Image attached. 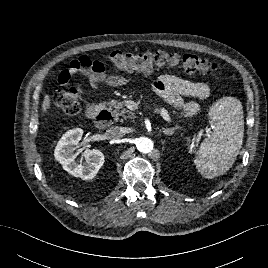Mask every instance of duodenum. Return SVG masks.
Wrapping results in <instances>:
<instances>
[{
	"mask_svg": "<svg viewBox=\"0 0 268 268\" xmlns=\"http://www.w3.org/2000/svg\"><path fill=\"white\" fill-rule=\"evenodd\" d=\"M89 118L95 121L98 128L106 129L109 128L114 120L113 114L102 105H91L87 110Z\"/></svg>",
	"mask_w": 268,
	"mask_h": 268,
	"instance_id": "obj_1",
	"label": "duodenum"
}]
</instances>
